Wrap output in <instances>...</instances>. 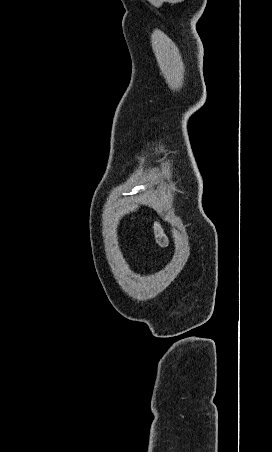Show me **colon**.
Instances as JSON below:
<instances>
[{
    "instance_id": "colon-1",
    "label": "colon",
    "mask_w": 272,
    "mask_h": 452,
    "mask_svg": "<svg viewBox=\"0 0 272 452\" xmlns=\"http://www.w3.org/2000/svg\"><path fill=\"white\" fill-rule=\"evenodd\" d=\"M154 235H155L156 242L159 246H161V247L167 246V243H168L167 237H166L163 229L161 228V226L158 223H156L154 225Z\"/></svg>"
}]
</instances>
